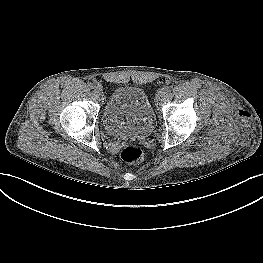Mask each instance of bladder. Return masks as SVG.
Returning <instances> with one entry per match:
<instances>
[{
    "label": "bladder",
    "mask_w": 263,
    "mask_h": 263,
    "mask_svg": "<svg viewBox=\"0 0 263 263\" xmlns=\"http://www.w3.org/2000/svg\"><path fill=\"white\" fill-rule=\"evenodd\" d=\"M154 122V111L138 87H116L102 112L104 129L115 137L149 136Z\"/></svg>",
    "instance_id": "obj_1"
}]
</instances>
